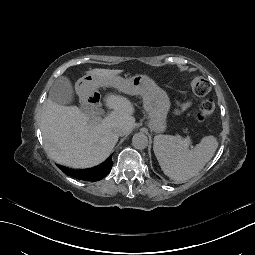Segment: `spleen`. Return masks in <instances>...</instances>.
Returning a JSON list of instances; mask_svg holds the SVG:
<instances>
[{"label": "spleen", "instance_id": "3e777b00", "mask_svg": "<svg viewBox=\"0 0 255 255\" xmlns=\"http://www.w3.org/2000/svg\"><path fill=\"white\" fill-rule=\"evenodd\" d=\"M218 142L214 136H206L193 149L179 137L157 135L153 150L164 174L178 182H185L204 168L213 157Z\"/></svg>", "mask_w": 255, "mask_h": 255}]
</instances>
